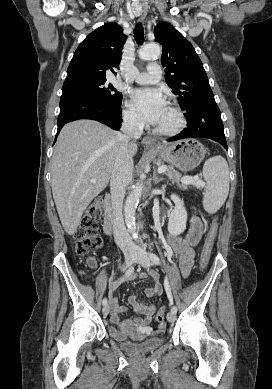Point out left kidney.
Returning a JSON list of instances; mask_svg holds the SVG:
<instances>
[{
  "label": "left kidney",
  "mask_w": 272,
  "mask_h": 389,
  "mask_svg": "<svg viewBox=\"0 0 272 389\" xmlns=\"http://www.w3.org/2000/svg\"><path fill=\"white\" fill-rule=\"evenodd\" d=\"M171 200L175 203V208L169 216L168 231L171 235L177 236L186 229L187 211L179 196L172 194Z\"/></svg>",
  "instance_id": "obj_1"
}]
</instances>
